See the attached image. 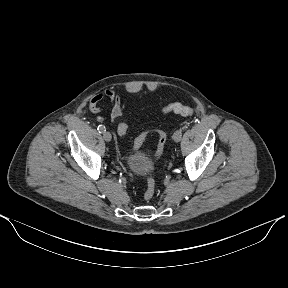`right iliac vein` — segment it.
I'll return each mask as SVG.
<instances>
[{"mask_svg": "<svg viewBox=\"0 0 288 288\" xmlns=\"http://www.w3.org/2000/svg\"><path fill=\"white\" fill-rule=\"evenodd\" d=\"M103 138H104V140H105L106 142H110L111 139H112V135H111L110 132H104V133H103Z\"/></svg>", "mask_w": 288, "mask_h": 288, "instance_id": "obj_1", "label": "right iliac vein"}]
</instances>
